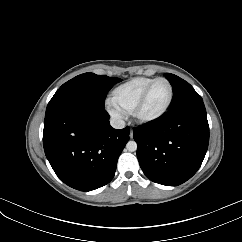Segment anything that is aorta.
<instances>
[{
    "label": "aorta",
    "instance_id": "aorta-1",
    "mask_svg": "<svg viewBox=\"0 0 242 242\" xmlns=\"http://www.w3.org/2000/svg\"><path fill=\"white\" fill-rule=\"evenodd\" d=\"M126 148L130 152L136 151L137 150V143L135 141H129L126 144Z\"/></svg>",
    "mask_w": 242,
    "mask_h": 242
}]
</instances>
